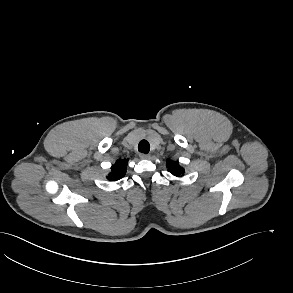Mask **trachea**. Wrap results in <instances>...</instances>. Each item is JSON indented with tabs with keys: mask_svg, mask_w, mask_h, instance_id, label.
I'll list each match as a JSON object with an SVG mask.
<instances>
[{
	"mask_svg": "<svg viewBox=\"0 0 293 293\" xmlns=\"http://www.w3.org/2000/svg\"><path fill=\"white\" fill-rule=\"evenodd\" d=\"M139 152L148 153L150 150V144L147 140H141L138 145Z\"/></svg>",
	"mask_w": 293,
	"mask_h": 293,
	"instance_id": "3493384b",
	"label": "trachea"
}]
</instances>
